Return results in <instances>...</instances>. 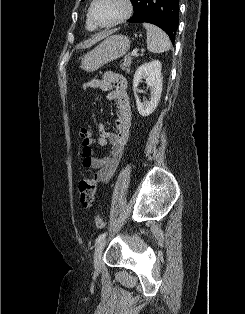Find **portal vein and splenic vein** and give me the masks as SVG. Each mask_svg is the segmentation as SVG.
Instances as JSON below:
<instances>
[{"mask_svg":"<svg viewBox=\"0 0 245 314\" xmlns=\"http://www.w3.org/2000/svg\"><path fill=\"white\" fill-rule=\"evenodd\" d=\"M137 54H138V49L137 48L133 49L131 52V56H137Z\"/></svg>","mask_w":245,"mask_h":314,"instance_id":"obj_1","label":"portal vein and splenic vein"}]
</instances>
